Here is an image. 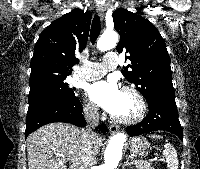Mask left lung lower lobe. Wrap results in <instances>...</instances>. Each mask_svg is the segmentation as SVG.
<instances>
[{"mask_svg": "<svg viewBox=\"0 0 200 169\" xmlns=\"http://www.w3.org/2000/svg\"><path fill=\"white\" fill-rule=\"evenodd\" d=\"M147 102L149 106L147 116L139 124L129 126L127 133L130 136H138L152 131L166 130L183 140L175 99L154 97Z\"/></svg>", "mask_w": 200, "mask_h": 169, "instance_id": "left-lung-lower-lobe-1", "label": "left lung lower lobe"}]
</instances>
